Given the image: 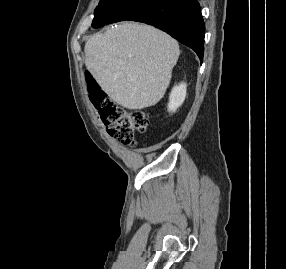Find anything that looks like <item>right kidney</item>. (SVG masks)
<instances>
[{
  "label": "right kidney",
  "instance_id": "right-kidney-1",
  "mask_svg": "<svg viewBox=\"0 0 286 269\" xmlns=\"http://www.w3.org/2000/svg\"><path fill=\"white\" fill-rule=\"evenodd\" d=\"M186 87V83H181L172 89L168 103L169 112H176L177 108L182 105L186 97Z\"/></svg>",
  "mask_w": 286,
  "mask_h": 269
}]
</instances>
